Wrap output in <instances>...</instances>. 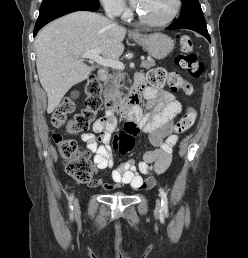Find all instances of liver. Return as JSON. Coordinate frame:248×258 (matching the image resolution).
<instances>
[{
	"label": "liver",
	"instance_id": "obj_1",
	"mask_svg": "<svg viewBox=\"0 0 248 258\" xmlns=\"http://www.w3.org/2000/svg\"><path fill=\"white\" fill-rule=\"evenodd\" d=\"M126 29L106 17L78 11L45 26L36 36V66L40 83L47 93L50 114L67 91L87 79L92 68L80 57L99 50L105 59L117 60L124 51Z\"/></svg>",
	"mask_w": 248,
	"mask_h": 258
}]
</instances>
